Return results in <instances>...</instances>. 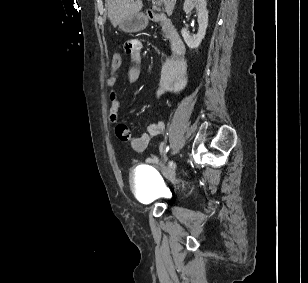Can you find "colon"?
I'll list each match as a JSON object with an SVG mask.
<instances>
[{"label": "colon", "mask_w": 308, "mask_h": 283, "mask_svg": "<svg viewBox=\"0 0 308 283\" xmlns=\"http://www.w3.org/2000/svg\"><path fill=\"white\" fill-rule=\"evenodd\" d=\"M122 59L119 53H114L112 57V68L113 70H118L121 66Z\"/></svg>", "instance_id": "colon-1"}]
</instances>
